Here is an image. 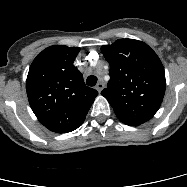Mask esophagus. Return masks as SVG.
Returning a JSON list of instances; mask_svg holds the SVG:
<instances>
[{
    "instance_id": "34e87169",
    "label": "esophagus",
    "mask_w": 187,
    "mask_h": 187,
    "mask_svg": "<svg viewBox=\"0 0 187 187\" xmlns=\"http://www.w3.org/2000/svg\"><path fill=\"white\" fill-rule=\"evenodd\" d=\"M105 85L102 81L98 82L96 85V90L100 93L104 89Z\"/></svg>"
}]
</instances>
